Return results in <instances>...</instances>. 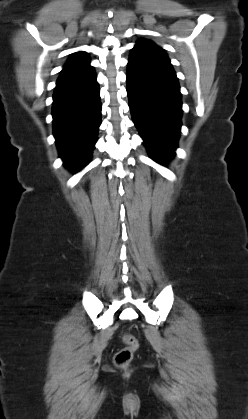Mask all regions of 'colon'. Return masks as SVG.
I'll return each mask as SVG.
<instances>
[{
    "label": "colon",
    "instance_id": "colon-1",
    "mask_svg": "<svg viewBox=\"0 0 248 419\" xmlns=\"http://www.w3.org/2000/svg\"><path fill=\"white\" fill-rule=\"evenodd\" d=\"M123 342L125 346L114 354V363L120 368H124L130 364L135 352L139 348L138 340L131 334H124Z\"/></svg>",
    "mask_w": 248,
    "mask_h": 419
}]
</instances>
